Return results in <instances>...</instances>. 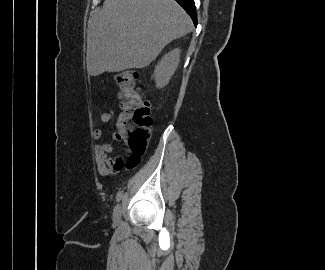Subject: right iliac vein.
Here are the masks:
<instances>
[{
    "mask_svg": "<svg viewBox=\"0 0 325 270\" xmlns=\"http://www.w3.org/2000/svg\"><path fill=\"white\" fill-rule=\"evenodd\" d=\"M121 214H122L121 205L117 204L113 211V221L115 224H118L120 222Z\"/></svg>",
    "mask_w": 325,
    "mask_h": 270,
    "instance_id": "obj_1",
    "label": "right iliac vein"
}]
</instances>
